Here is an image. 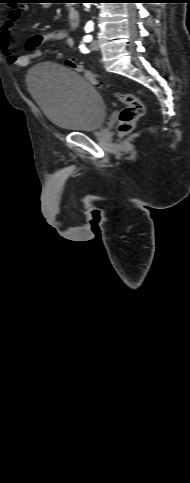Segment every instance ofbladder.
Returning <instances> with one entry per match:
<instances>
[{"label":"bladder","instance_id":"obj_1","mask_svg":"<svg viewBox=\"0 0 190 483\" xmlns=\"http://www.w3.org/2000/svg\"><path fill=\"white\" fill-rule=\"evenodd\" d=\"M30 94L53 125L73 131L99 129L106 105L97 90L78 72L54 62L34 66L27 76Z\"/></svg>","mask_w":190,"mask_h":483}]
</instances>
